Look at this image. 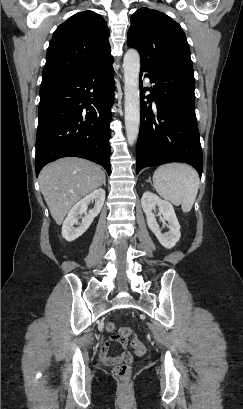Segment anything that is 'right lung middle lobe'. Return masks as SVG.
Here are the masks:
<instances>
[{"mask_svg": "<svg viewBox=\"0 0 243 409\" xmlns=\"http://www.w3.org/2000/svg\"><path fill=\"white\" fill-rule=\"evenodd\" d=\"M50 81H52V80H48V81H42V83H47V82H50Z\"/></svg>", "mask_w": 243, "mask_h": 409, "instance_id": "obj_1", "label": "right lung middle lobe"}]
</instances>
